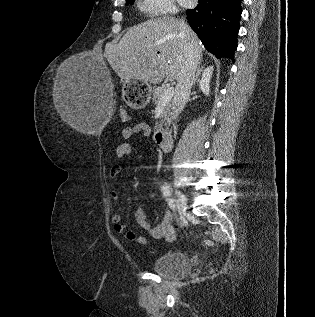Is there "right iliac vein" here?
I'll use <instances>...</instances> for the list:
<instances>
[{
  "label": "right iliac vein",
  "instance_id": "obj_1",
  "mask_svg": "<svg viewBox=\"0 0 315 317\" xmlns=\"http://www.w3.org/2000/svg\"><path fill=\"white\" fill-rule=\"evenodd\" d=\"M175 196H176V204H177L179 213L183 215L185 214V210H186V198L179 190H175Z\"/></svg>",
  "mask_w": 315,
  "mask_h": 317
}]
</instances>
